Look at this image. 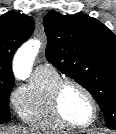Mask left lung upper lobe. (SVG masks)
<instances>
[{
	"label": "left lung upper lobe",
	"instance_id": "5c2ea615",
	"mask_svg": "<svg viewBox=\"0 0 116 134\" xmlns=\"http://www.w3.org/2000/svg\"><path fill=\"white\" fill-rule=\"evenodd\" d=\"M46 58L89 91L109 129H116V36L88 15L44 16Z\"/></svg>",
	"mask_w": 116,
	"mask_h": 134
}]
</instances>
